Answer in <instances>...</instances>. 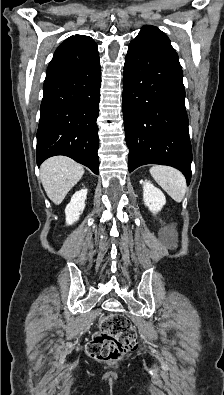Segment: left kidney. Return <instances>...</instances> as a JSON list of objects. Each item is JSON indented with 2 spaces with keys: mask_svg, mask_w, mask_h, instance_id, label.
<instances>
[{
  "mask_svg": "<svg viewBox=\"0 0 224 395\" xmlns=\"http://www.w3.org/2000/svg\"><path fill=\"white\" fill-rule=\"evenodd\" d=\"M143 200L145 205L154 214L160 211L166 203L163 192L147 180L143 183Z\"/></svg>",
  "mask_w": 224,
  "mask_h": 395,
  "instance_id": "left-kidney-1",
  "label": "left kidney"
}]
</instances>
